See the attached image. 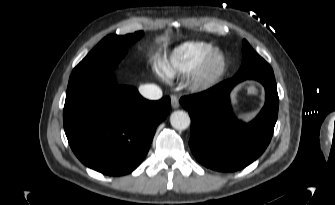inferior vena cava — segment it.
<instances>
[{"label":"inferior vena cava","instance_id":"inferior-vena-cava-1","mask_svg":"<svg viewBox=\"0 0 335 205\" xmlns=\"http://www.w3.org/2000/svg\"><path fill=\"white\" fill-rule=\"evenodd\" d=\"M140 94L150 100H158L162 97V90L155 84H145L139 87Z\"/></svg>","mask_w":335,"mask_h":205}]
</instances>
